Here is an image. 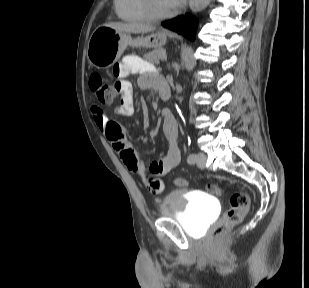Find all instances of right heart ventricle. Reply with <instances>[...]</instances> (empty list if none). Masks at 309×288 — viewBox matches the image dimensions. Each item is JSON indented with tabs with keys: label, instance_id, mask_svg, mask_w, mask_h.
<instances>
[{
	"label": "right heart ventricle",
	"instance_id": "obj_1",
	"mask_svg": "<svg viewBox=\"0 0 309 288\" xmlns=\"http://www.w3.org/2000/svg\"><path fill=\"white\" fill-rule=\"evenodd\" d=\"M114 8L126 22L144 24L153 20L146 12L143 0H114Z\"/></svg>",
	"mask_w": 309,
	"mask_h": 288
}]
</instances>
